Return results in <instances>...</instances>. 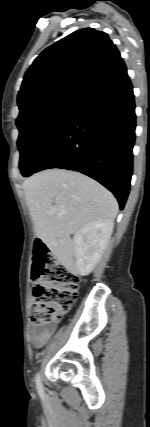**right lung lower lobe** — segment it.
I'll return each instance as SVG.
<instances>
[{"label": "right lung lower lobe", "instance_id": "right-lung-lower-lobe-1", "mask_svg": "<svg viewBox=\"0 0 150 427\" xmlns=\"http://www.w3.org/2000/svg\"><path fill=\"white\" fill-rule=\"evenodd\" d=\"M135 127L133 86L126 71L78 106L34 173L50 168L79 171L109 189L123 209L130 190Z\"/></svg>", "mask_w": 150, "mask_h": 427}]
</instances>
